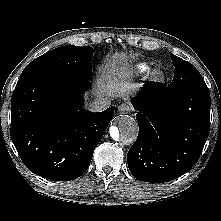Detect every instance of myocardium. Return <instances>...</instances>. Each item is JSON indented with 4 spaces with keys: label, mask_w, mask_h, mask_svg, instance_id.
Wrapping results in <instances>:
<instances>
[{
    "label": "myocardium",
    "mask_w": 221,
    "mask_h": 221,
    "mask_svg": "<svg viewBox=\"0 0 221 221\" xmlns=\"http://www.w3.org/2000/svg\"><path fill=\"white\" fill-rule=\"evenodd\" d=\"M150 78L154 81H159L163 78V71L160 68H154L150 71Z\"/></svg>",
    "instance_id": "obj_1"
}]
</instances>
